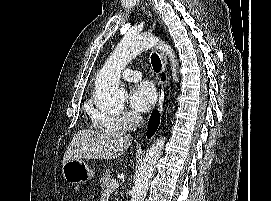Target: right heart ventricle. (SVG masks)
<instances>
[{
	"label": "right heart ventricle",
	"mask_w": 271,
	"mask_h": 201,
	"mask_svg": "<svg viewBox=\"0 0 271 201\" xmlns=\"http://www.w3.org/2000/svg\"><path fill=\"white\" fill-rule=\"evenodd\" d=\"M88 111L90 112V114L92 115V118H93V114L94 113H92L90 110H89V108H88ZM100 128H102V129H104V130H109V131H112V130H115L116 128H114V127H109V126H99Z\"/></svg>",
	"instance_id": "e07e8e85"
}]
</instances>
